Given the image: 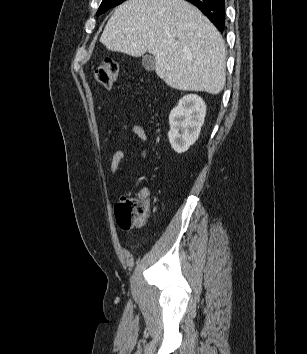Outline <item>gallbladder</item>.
<instances>
[{"mask_svg": "<svg viewBox=\"0 0 307 354\" xmlns=\"http://www.w3.org/2000/svg\"><path fill=\"white\" fill-rule=\"evenodd\" d=\"M142 66L147 71H152L155 69V58L152 55H145L142 58Z\"/></svg>", "mask_w": 307, "mask_h": 354, "instance_id": "bac80fb5", "label": "gallbladder"}]
</instances>
